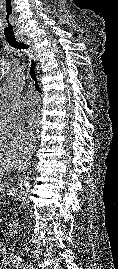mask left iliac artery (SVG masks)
I'll use <instances>...</instances> for the list:
<instances>
[{
	"label": "left iliac artery",
	"instance_id": "obj_1",
	"mask_svg": "<svg viewBox=\"0 0 118 269\" xmlns=\"http://www.w3.org/2000/svg\"><path fill=\"white\" fill-rule=\"evenodd\" d=\"M13 263L17 268H22L23 266L22 258L19 255L13 256Z\"/></svg>",
	"mask_w": 118,
	"mask_h": 269
}]
</instances>
